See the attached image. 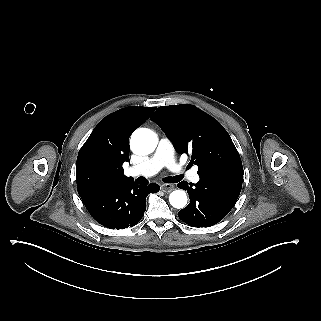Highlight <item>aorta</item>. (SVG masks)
Instances as JSON below:
<instances>
[{"label": "aorta", "instance_id": "aorta-1", "mask_svg": "<svg viewBox=\"0 0 321 321\" xmlns=\"http://www.w3.org/2000/svg\"><path fill=\"white\" fill-rule=\"evenodd\" d=\"M158 144L157 135L150 129L140 128L133 132L130 146L134 153L147 155L152 153ZM170 204L177 209H182L187 204V195L182 190H175L169 196Z\"/></svg>", "mask_w": 321, "mask_h": 321}]
</instances>
